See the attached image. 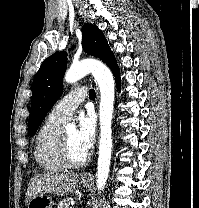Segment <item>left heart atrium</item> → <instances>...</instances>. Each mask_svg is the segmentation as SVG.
I'll use <instances>...</instances> for the list:
<instances>
[{
  "mask_svg": "<svg viewBox=\"0 0 199 208\" xmlns=\"http://www.w3.org/2000/svg\"><path fill=\"white\" fill-rule=\"evenodd\" d=\"M76 136L79 147L88 153L94 143L95 136V125L90 115L82 114L78 118Z\"/></svg>",
  "mask_w": 199,
  "mask_h": 208,
  "instance_id": "39dd6f15",
  "label": "left heart atrium"
}]
</instances>
